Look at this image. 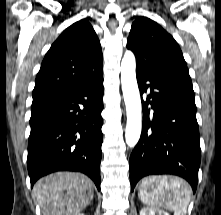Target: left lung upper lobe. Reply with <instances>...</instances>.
<instances>
[{
	"label": "left lung upper lobe",
	"mask_w": 221,
	"mask_h": 215,
	"mask_svg": "<svg viewBox=\"0 0 221 215\" xmlns=\"http://www.w3.org/2000/svg\"><path fill=\"white\" fill-rule=\"evenodd\" d=\"M127 48L136 57V69L172 76L192 86L178 43L153 20L140 16L134 21Z\"/></svg>",
	"instance_id": "obj_1"
}]
</instances>
